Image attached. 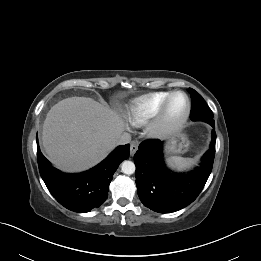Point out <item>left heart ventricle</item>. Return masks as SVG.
I'll return each mask as SVG.
<instances>
[{
  "label": "left heart ventricle",
  "instance_id": "1",
  "mask_svg": "<svg viewBox=\"0 0 261 261\" xmlns=\"http://www.w3.org/2000/svg\"><path fill=\"white\" fill-rule=\"evenodd\" d=\"M186 110V99L182 95H176L170 104L168 118L171 122L180 119Z\"/></svg>",
  "mask_w": 261,
  "mask_h": 261
}]
</instances>
